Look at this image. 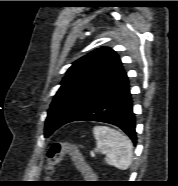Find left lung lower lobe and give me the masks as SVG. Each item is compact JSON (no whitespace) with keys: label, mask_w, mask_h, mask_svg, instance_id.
Returning <instances> with one entry per match:
<instances>
[{"label":"left lung lower lobe","mask_w":178,"mask_h":186,"mask_svg":"<svg viewBox=\"0 0 178 186\" xmlns=\"http://www.w3.org/2000/svg\"><path fill=\"white\" fill-rule=\"evenodd\" d=\"M72 121H97L113 124L122 129L136 143L135 114L129 82L81 112Z\"/></svg>","instance_id":"left-lung-lower-lobe-1"}]
</instances>
